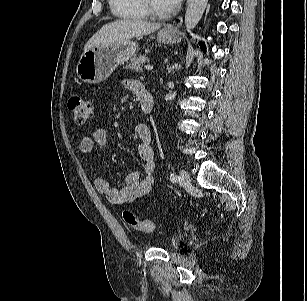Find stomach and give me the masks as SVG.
Returning a JSON list of instances; mask_svg holds the SVG:
<instances>
[{
  "label": "stomach",
  "mask_w": 307,
  "mask_h": 301,
  "mask_svg": "<svg viewBox=\"0 0 307 301\" xmlns=\"http://www.w3.org/2000/svg\"><path fill=\"white\" fill-rule=\"evenodd\" d=\"M179 40L177 31L162 29L157 35L160 43H175ZM138 49L135 41L125 40L111 46H96L81 55L76 73L86 83H99L106 80L117 66L131 59Z\"/></svg>",
  "instance_id": "obj_1"
}]
</instances>
